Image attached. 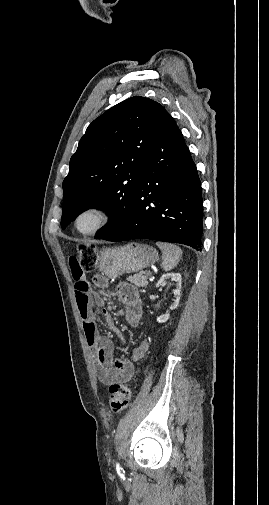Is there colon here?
Instances as JSON below:
<instances>
[{
  "mask_svg": "<svg viewBox=\"0 0 269 505\" xmlns=\"http://www.w3.org/2000/svg\"><path fill=\"white\" fill-rule=\"evenodd\" d=\"M70 259H79L82 271L91 274L97 262V248L94 245L81 244L77 247L76 255ZM132 400V389L125 384L114 383L109 387V405L114 413L126 409Z\"/></svg>",
  "mask_w": 269,
  "mask_h": 505,
  "instance_id": "1",
  "label": "colon"
}]
</instances>
